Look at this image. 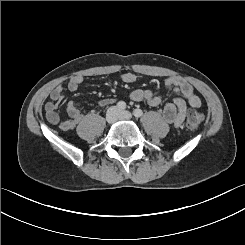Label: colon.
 <instances>
[{"instance_id": "obj_1", "label": "colon", "mask_w": 245, "mask_h": 245, "mask_svg": "<svg viewBox=\"0 0 245 245\" xmlns=\"http://www.w3.org/2000/svg\"><path fill=\"white\" fill-rule=\"evenodd\" d=\"M204 120V115L194 109H190L187 114L186 125L192 130L199 128Z\"/></svg>"}]
</instances>
